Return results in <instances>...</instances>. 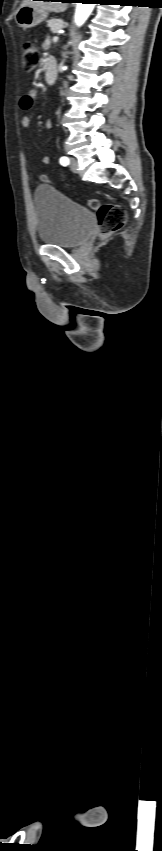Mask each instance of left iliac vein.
Returning <instances> with one entry per match:
<instances>
[{
  "label": "left iliac vein",
  "mask_w": 162,
  "mask_h": 851,
  "mask_svg": "<svg viewBox=\"0 0 162 851\" xmlns=\"http://www.w3.org/2000/svg\"><path fill=\"white\" fill-rule=\"evenodd\" d=\"M69 167H70V170H71L72 172L77 173V171H78V162H77V160H76L75 158H73V157H72V158H70Z\"/></svg>",
  "instance_id": "left-iliac-vein-1"
}]
</instances>
